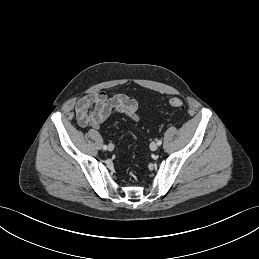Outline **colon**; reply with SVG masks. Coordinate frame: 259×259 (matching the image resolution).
Segmentation results:
<instances>
[{
	"label": "colon",
	"mask_w": 259,
	"mask_h": 259,
	"mask_svg": "<svg viewBox=\"0 0 259 259\" xmlns=\"http://www.w3.org/2000/svg\"><path fill=\"white\" fill-rule=\"evenodd\" d=\"M169 105L176 109H184L185 107L183 101L179 98H171L169 100Z\"/></svg>",
	"instance_id": "5ec220e1"
}]
</instances>
